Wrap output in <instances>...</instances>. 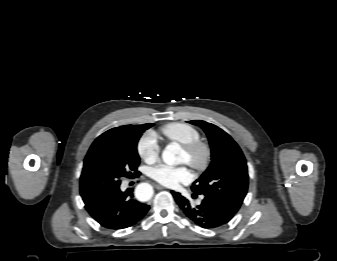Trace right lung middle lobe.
Returning a JSON list of instances; mask_svg holds the SVG:
<instances>
[{
	"label": "right lung middle lobe",
	"mask_w": 337,
	"mask_h": 261,
	"mask_svg": "<svg viewBox=\"0 0 337 261\" xmlns=\"http://www.w3.org/2000/svg\"><path fill=\"white\" fill-rule=\"evenodd\" d=\"M146 129L103 133L93 142L80 177V194L84 202L120 185L122 177L137 170L140 162L137 143Z\"/></svg>",
	"instance_id": "dd1d6c3e"
}]
</instances>
